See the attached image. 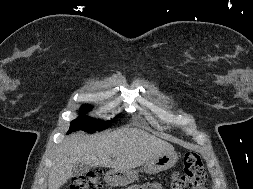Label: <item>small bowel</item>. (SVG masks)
Listing matches in <instances>:
<instances>
[{"label": "small bowel", "mask_w": 253, "mask_h": 189, "mask_svg": "<svg viewBox=\"0 0 253 189\" xmlns=\"http://www.w3.org/2000/svg\"><path fill=\"white\" fill-rule=\"evenodd\" d=\"M130 189H165L160 183L144 184L142 186H133Z\"/></svg>", "instance_id": "c3829d8e"}]
</instances>
